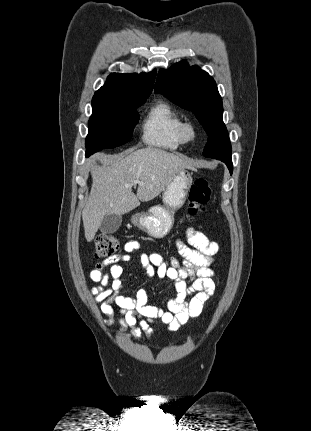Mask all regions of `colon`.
Returning <instances> with one entry per match:
<instances>
[{"label":"colon","instance_id":"1","mask_svg":"<svg viewBox=\"0 0 311 431\" xmlns=\"http://www.w3.org/2000/svg\"><path fill=\"white\" fill-rule=\"evenodd\" d=\"M211 198V188L207 179L198 177L190 186L188 216L193 219L205 211ZM119 248V241L111 234H101L95 242L94 257L104 259L113 255Z\"/></svg>","mask_w":311,"mask_h":431}]
</instances>
